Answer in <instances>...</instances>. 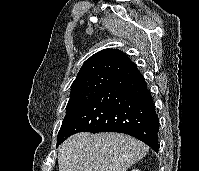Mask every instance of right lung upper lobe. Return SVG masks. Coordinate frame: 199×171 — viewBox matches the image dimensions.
Segmentation results:
<instances>
[{
	"label": "right lung upper lobe",
	"instance_id": "1",
	"mask_svg": "<svg viewBox=\"0 0 199 171\" xmlns=\"http://www.w3.org/2000/svg\"><path fill=\"white\" fill-rule=\"evenodd\" d=\"M133 66H135V64L122 51L117 49L101 50L92 55L83 64L71 88L97 75L116 76Z\"/></svg>",
	"mask_w": 199,
	"mask_h": 171
}]
</instances>
